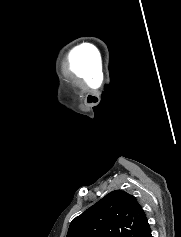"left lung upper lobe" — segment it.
Listing matches in <instances>:
<instances>
[{
  "label": "left lung upper lobe",
  "mask_w": 181,
  "mask_h": 237,
  "mask_svg": "<svg viewBox=\"0 0 181 237\" xmlns=\"http://www.w3.org/2000/svg\"><path fill=\"white\" fill-rule=\"evenodd\" d=\"M148 226L136 198L114 190L73 219L66 237H140Z\"/></svg>",
  "instance_id": "obj_1"
}]
</instances>
